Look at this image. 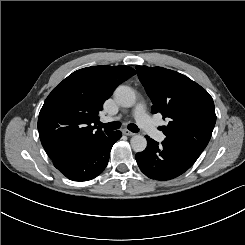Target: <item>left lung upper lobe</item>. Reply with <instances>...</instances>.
I'll return each instance as SVG.
<instances>
[{"label":"left lung upper lobe","instance_id":"obj_1","mask_svg":"<svg viewBox=\"0 0 245 245\" xmlns=\"http://www.w3.org/2000/svg\"><path fill=\"white\" fill-rule=\"evenodd\" d=\"M138 77L153 102L152 112L169 118L161 130L166 139L202 153L216 122L213 99L200 85L162 67L136 66Z\"/></svg>","mask_w":245,"mask_h":245}]
</instances>
